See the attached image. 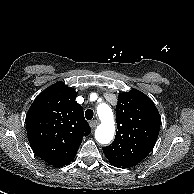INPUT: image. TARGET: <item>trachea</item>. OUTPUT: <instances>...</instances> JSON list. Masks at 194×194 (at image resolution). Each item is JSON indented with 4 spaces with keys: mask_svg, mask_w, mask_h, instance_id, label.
I'll list each match as a JSON object with an SVG mask.
<instances>
[{
    "mask_svg": "<svg viewBox=\"0 0 194 194\" xmlns=\"http://www.w3.org/2000/svg\"><path fill=\"white\" fill-rule=\"evenodd\" d=\"M93 110L92 109H88L85 111V117L87 120H91L93 118Z\"/></svg>",
    "mask_w": 194,
    "mask_h": 194,
    "instance_id": "trachea-1",
    "label": "trachea"
}]
</instances>
